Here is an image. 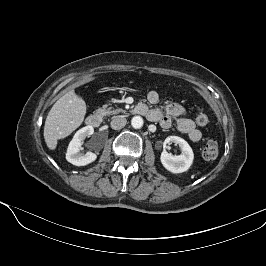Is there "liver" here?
<instances>
[{
	"label": "liver",
	"instance_id": "obj_1",
	"mask_svg": "<svg viewBox=\"0 0 266 266\" xmlns=\"http://www.w3.org/2000/svg\"><path fill=\"white\" fill-rule=\"evenodd\" d=\"M86 103L74 90L59 98L49 111L45 126L44 139L47 147L54 150L59 139L69 136L84 121Z\"/></svg>",
	"mask_w": 266,
	"mask_h": 266
}]
</instances>
